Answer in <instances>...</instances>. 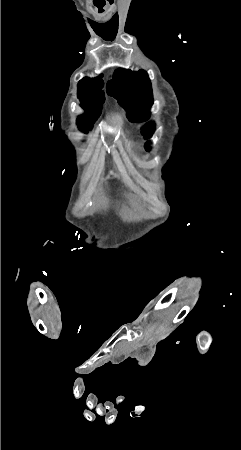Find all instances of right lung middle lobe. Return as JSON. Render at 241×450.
I'll use <instances>...</instances> for the list:
<instances>
[{"mask_svg": "<svg viewBox=\"0 0 241 450\" xmlns=\"http://www.w3.org/2000/svg\"><path fill=\"white\" fill-rule=\"evenodd\" d=\"M104 83L98 78H83L78 83V98L80 99L81 106L85 109V115L92 116V124L99 117L102 109V104L104 103L105 97L104 92L101 90ZM83 116L78 117L79 122ZM92 127V126H91Z\"/></svg>", "mask_w": 241, "mask_h": 450, "instance_id": "obj_1", "label": "right lung middle lobe"}]
</instances>
